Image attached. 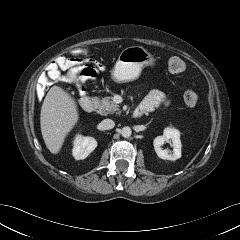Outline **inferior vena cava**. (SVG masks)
Returning <instances> with one entry per match:
<instances>
[{"label": "inferior vena cava", "instance_id": "obj_1", "mask_svg": "<svg viewBox=\"0 0 240 240\" xmlns=\"http://www.w3.org/2000/svg\"><path fill=\"white\" fill-rule=\"evenodd\" d=\"M100 125L103 130H109L114 128L115 122L111 119H104Z\"/></svg>", "mask_w": 240, "mask_h": 240}]
</instances>
